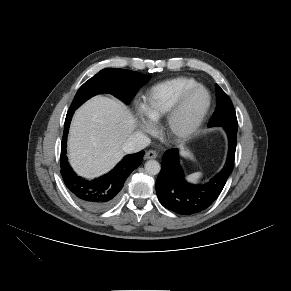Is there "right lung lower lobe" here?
<instances>
[{
  "label": "right lung lower lobe",
  "instance_id": "right-lung-lower-lobe-1",
  "mask_svg": "<svg viewBox=\"0 0 291 291\" xmlns=\"http://www.w3.org/2000/svg\"><path fill=\"white\" fill-rule=\"evenodd\" d=\"M75 110H68L61 143V174L66 187L75 199L90 211H101L111 207L119 198L129 174L142 162L144 151L130 154L108 174L86 180L77 176L67 162L66 140L70 121Z\"/></svg>",
  "mask_w": 291,
  "mask_h": 291
}]
</instances>
